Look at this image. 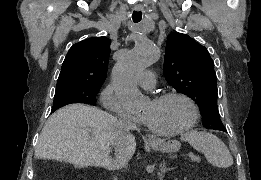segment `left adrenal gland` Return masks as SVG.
Segmentation results:
<instances>
[{"label":"left adrenal gland","instance_id":"obj_1","mask_svg":"<svg viewBox=\"0 0 261 180\" xmlns=\"http://www.w3.org/2000/svg\"><path fill=\"white\" fill-rule=\"evenodd\" d=\"M168 170H170V168H167V164L165 162V160H163V162H161L160 166H159V180H163L164 178V174H166V172H168Z\"/></svg>","mask_w":261,"mask_h":180}]
</instances>
